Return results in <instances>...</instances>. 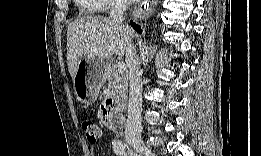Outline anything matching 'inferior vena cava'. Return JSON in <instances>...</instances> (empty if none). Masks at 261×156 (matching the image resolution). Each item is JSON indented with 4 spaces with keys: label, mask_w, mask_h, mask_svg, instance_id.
<instances>
[{
    "label": "inferior vena cava",
    "mask_w": 261,
    "mask_h": 156,
    "mask_svg": "<svg viewBox=\"0 0 261 156\" xmlns=\"http://www.w3.org/2000/svg\"><path fill=\"white\" fill-rule=\"evenodd\" d=\"M128 7L126 0H116L110 9V19L118 25H123L124 12ZM124 26V25H123ZM126 60L129 67V103L128 120L125 138L128 144L141 145V104H142V81L139 71V58L135 47L130 43L126 51Z\"/></svg>",
    "instance_id": "602c4592"
}]
</instances>
